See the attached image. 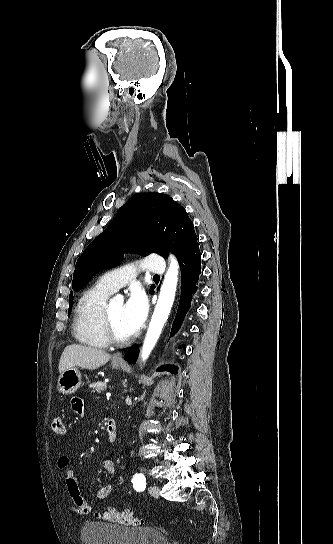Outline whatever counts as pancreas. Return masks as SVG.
<instances>
[{
  "label": "pancreas",
  "instance_id": "obj_1",
  "mask_svg": "<svg viewBox=\"0 0 333 544\" xmlns=\"http://www.w3.org/2000/svg\"><path fill=\"white\" fill-rule=\"evenodd\" d=\"M89 387L92 389V392L101 393V392L106 390L107 385H106L105 382L100 381V382H94V383L90 384Z\"/></svg>",
  "mask_w": 333,
  "mask_h": 544
}]
</instances>
